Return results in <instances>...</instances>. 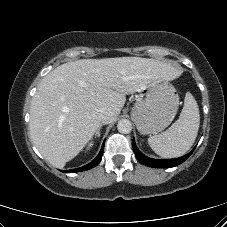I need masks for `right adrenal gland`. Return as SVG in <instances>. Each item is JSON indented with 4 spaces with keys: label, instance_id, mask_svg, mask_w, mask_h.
Here are the masks:
<instances>
[{
    "label": "right adrenal gland",
    "instance_id": "right-adrenal-gland-1",
    "mask_svg": "<svg viewBox=\"0 0 227 227\" xmlns=\"http://www.w3.org/2000/svg\"><path fill=\"white\" fill-rule=\"evenodd\" d=\"M101 128H102V124L100 125V127L98 128V130L95 133V136L96 137H99L100 136V130H101Z\"/></svg>",
    "mask_w": 227,
    "mask_h": 227
}]
</instances>
